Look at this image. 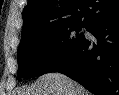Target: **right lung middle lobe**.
<instances>
[{"instance_id":"dd1d6c3e","label":"right lung middle lobe","mask_w":119,"mask_h":95,"mask_svg":"<svg viewBox=\"0 0 119 95\" xmlns=\"http://www.w3.org/2000/svg\"><path fill=\"white\" fill-rule=\"evenodd\" d=\"M87 26L77 23L47 24L21 37L17 51L18 78L41 76L57 64L84 37Z\"/></svg>"}]
</instances>
